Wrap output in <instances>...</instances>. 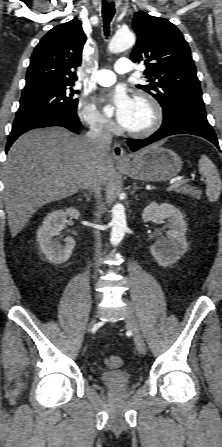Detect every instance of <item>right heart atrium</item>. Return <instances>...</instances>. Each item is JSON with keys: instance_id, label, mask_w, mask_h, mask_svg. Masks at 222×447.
<instances>
[{"instance_id": "obj_1", "label": "right heart atrium", "mask_w": 222, "mask_h": 447, "mask_svg": "<svg viewBox=\"0 0 222 447\" xmlns=\"http://www.w3.org/2000/svg\"><path fill=\"white\" fill-rule=\"evenodd\" d=\"M78 119L89 128L100 133H111L114 130V124L108 118L103 116L92 105L83 103L77 109Z\"/></svg>"}]
</instances>
